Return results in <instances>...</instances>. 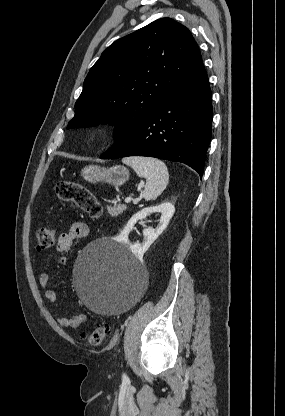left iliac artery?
Listing matches in <instances>:
<instances>
[{
  "instance_id": "1",
  "label": "left iliac artery",
  "mask_w": 285,
  "mask_h": 416,
  "mask_svg": "<svg viewBox=\"0 0 285 416\" xmlns=\"http://www.w3.org/2000/svg\"><path fill=\"white\" fill-rule=\"evenodd\" d=\"M122 379H123V380H128V376H127L125 373H123V374H122Z\"/></svg>"
}]
</instances>
